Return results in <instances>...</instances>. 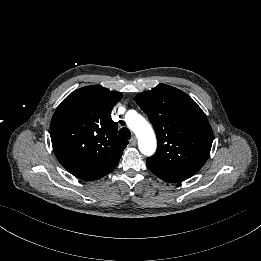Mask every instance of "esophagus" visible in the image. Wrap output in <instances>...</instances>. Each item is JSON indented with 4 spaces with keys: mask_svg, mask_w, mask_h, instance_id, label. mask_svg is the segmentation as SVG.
Instances as JSON below:
<instances>
[{
    "mask_svg": "<svg viewBox=\"0 0 261 261\" xmlns=\"http://www.w3.org/2000/svg\"><path fill=\"white\" fill-rule=\"evenodd\" d=\"M131 145L135 146L137 144V139L136 137H133L130 141Z\"/></svg>",
    "mask_w": 261,
    "mask_h": 261,
    "instance_id": "34e87169",
    "label": "esophagus"
}]
</instances>
